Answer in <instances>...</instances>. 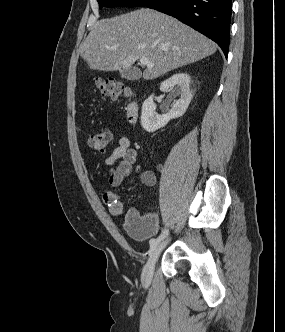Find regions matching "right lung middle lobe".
I'll list each match as a JSON object with an SVG mask.
<instances>
[{
    "instance_id": "1",
    "label": "right lung middle lobe",
    "mask_w": 285,
    "mask_h": 332,
    "mask_svg": "<svg viewBox=\"0 0 285 332\" xmlns=\"http://www.w3.org/2000/svg\"><path fill=\"white\" fill-rule=\"evenodd\" d=\"M99 8L108 7H139L146 5L150 0H97Z\"/></svg>"
}]
</instances>
